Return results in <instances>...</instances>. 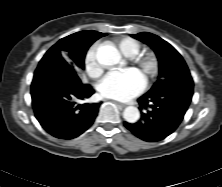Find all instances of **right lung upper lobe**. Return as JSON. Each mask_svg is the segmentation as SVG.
I'll list each match as a JSON object with an SVG mask.
<instances>
[{
  "mask_svg": "<svg viewBox=\"0 0 222 187\" xmlns=\"http://www.w3.org/2000/svg\"><path fill=\"white\" fill-rule=\"evenodd\" d=\"M106 34L105 33H100V32H96V31H91V30H86V31H81V32H77V33H74L72 35H69L63 39H61L60 41H58L54 46H52L51 48H54V49H57L60 44L62 42H65L67 40H70L71 38L75 37V36H82L86 39H92V40H97L99 39L100 37L102 36H105ZM45 58H48V59H51V57L49 56H44ZM52 58H56V57H52Z\"/></svg>",
  "mask_w": 222,
  "mask_h": 187,
  "instance_id": "1",
  "label": "right lung upper lobe"
}]
</instances>
